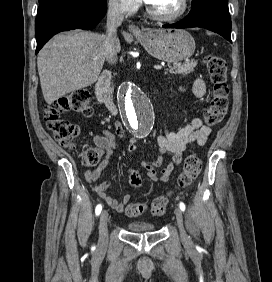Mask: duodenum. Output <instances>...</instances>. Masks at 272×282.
Listing matches in <instances>:
<instances>
[{"label":"duodenum","mask_w":272,"mask_h":282,"mask_svg":"<svg viewBox=\"0 0 272 282\" xmlns=\"http://www.w3.org/2000/svg\"><path fill=\"white\" fill-rule=\"evenodd\" d=\"M111 80H112L111 71L106 70L101 74L96 84V98L98 102L106 106V108L112 115H115L117 114V107L112 99V94L109 89Z\"/></svg>","instance_id":"duodenum-1"}]
</instances>
